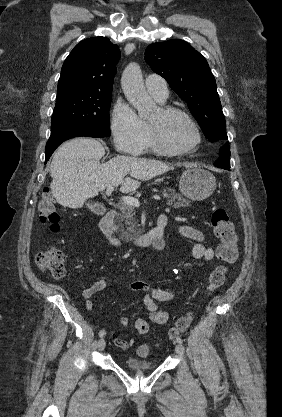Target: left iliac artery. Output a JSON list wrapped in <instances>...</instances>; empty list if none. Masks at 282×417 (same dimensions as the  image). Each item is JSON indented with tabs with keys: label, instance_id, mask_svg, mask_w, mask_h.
Segmentation results:
<instances>
[{
	"label": "left iliac artery",
	"instance_id": "obj_1",
	"mask_svg": "<svg viewBox=\"0 0 282 417\" xmlns=\"http://www.w3.org/2000/svg\"><path fill=\"white\" fill-rule=\"evenodd\" d=\"M178 343H182L183 342V340L181 339V338H177V340H176Z\"/></svg>",
	"mask_w": 282,
	"mask_h": 417
}]
</instances>
